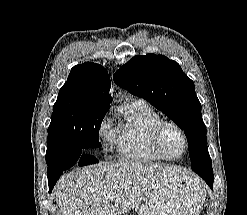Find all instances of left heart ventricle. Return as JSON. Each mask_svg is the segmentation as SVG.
<instances>
[{"label": "left heart ventricle", "instance_id": "left-heart-ventricle-1", "mask_svg": "<svg viewBox=\"0 0 247 215\" xmlns=\"http://www.w3.org/2000/svg\"><path fill=\"white\" fill-rule=\"evenodd\" d=\"M163 144L169 155L177 156L183 151V140L181 135L174 128H167L163 135Z\"/></svg>", "mask_w": 247, "mask_h": 215}]
</instances>
